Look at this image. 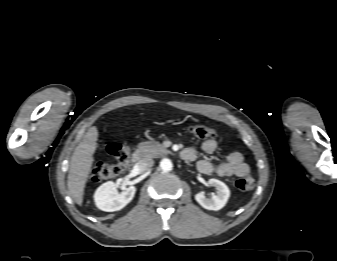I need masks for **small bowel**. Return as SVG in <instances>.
I'll use <instances>...</instances> for the list:
<instances>
[{
  "label": "small bowel",
  "mask_w": 337,
  "mask_h": 261,
  "mask_svg": "<svg viewBox=\"0 0 337 261\" xmlns=\"http://www.w3.org/2000/svg\"><path fill=\"white\" fill-rule=\"evenodd\" d=\"M201 149L204 153L211 155L217 149L215 140H206L202 143ZM198 150L195 147H189L183 150L182 157L187 161H195L198 158ZM197 169L200 173L206 175H218L221 177H243L249 173V166L240 152L234 151L228 154L226 161L214 164L206 159L197 162Z\"/></svg>",
  "instance_id": "1"
}]
</instances>
